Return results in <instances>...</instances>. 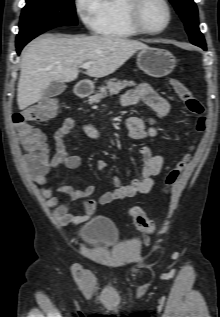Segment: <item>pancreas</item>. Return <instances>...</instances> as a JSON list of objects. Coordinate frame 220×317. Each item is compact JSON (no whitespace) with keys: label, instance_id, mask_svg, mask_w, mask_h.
<instances>
[{"label":"pancreas","instance_id":"pancreas-1","mask_svg":"<svg viewBox=\"0 0 220 317\" xmlns=\"http://www.w3.org/2000/svg\"><path fill=\"white\" fill-rule=\"evenodd\" d=\"M106 86L99 87V90L89 98V104L98 103L108 95L112 96L118 94L122 89L133 86V81L111 79L106 81Z\"/></svg>","mask_w":220,"mask_h":317}]
</instances>
